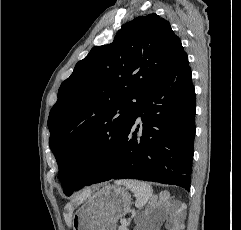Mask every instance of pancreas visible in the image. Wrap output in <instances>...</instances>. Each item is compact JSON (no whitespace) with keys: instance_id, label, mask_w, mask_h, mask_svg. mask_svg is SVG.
Wrapping results in <instances>:
<instances>
[{"instance_id":"obj_1","label":"pancreas","mask_w":241,"mask_h":230,"mask_svg":"<svg viewBox=\"0 0 241 230\" xmlns=\"http://www.w3.org/2000/svg\"><path fill=\"white\" fill-rule=\"evenodd\" d=\"M118 230H128V224L121 225Z\"/></svg>"}]
</instances>
